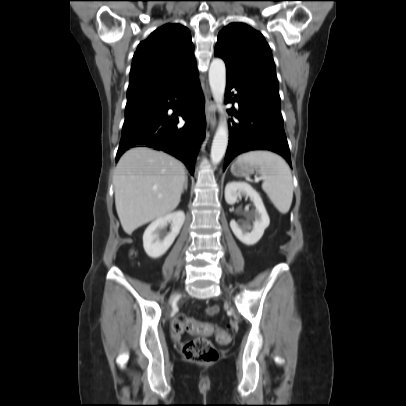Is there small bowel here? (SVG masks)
I'll return each instance as SVG.
<instances>
[{
  "label": "small bowel",
  "mask_w": 406,
  "mask_h": 406,
  "mask_svg": "<svg viewBox=\"0 0 406 406\" xmlns=\"http://www.w3.org/2000/svg\"><path fill=\"white\" fill-rule=\"evenodd\" d=\"M216 311H217V308H216V307H210V308H208V309L206 310L207 314H209V315H212V314L216 313ZM174 338H175L176 340H178V339L180 338V334L175 333V334H174Z\"/></svg>",
  "instance_id": "small-bowel-1"
}]
</instances>
